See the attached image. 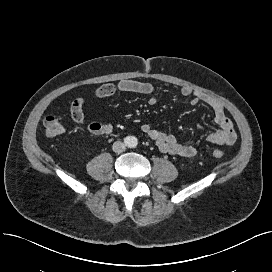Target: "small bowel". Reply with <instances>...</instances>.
Returning a JSON list of instances; mask_svg holds the SVG:
<instances>
[{"label": "small bowel", "instance_id": "1", "mask_svg": "<svg viewBox=\"0 0 272 272\" xmlns=\"http://www.w3.org/2000/svg\"><path fill=\"white\" fill-rule=\"evenodd\" d=\"M117 93H136L148 96V102L151 105L156 104L158 99L156 87L148 82L135 80H121L117 83H107L94 90L95 98H106ZM182 96L189 98L191 104H205L213 112V118L218 125V129L208 133L206 139L209 143L217 145H232L235 143L237 135L233 122L225 114L223 103L217 98L195 91L190 87L180 89ZM84 98L76 99L71 105V116L74 122L83 126L88 132L96 136H109L114 128L111 124L91 122L86 123L84 119L83 106ZM140 130L147 135L157 146V148L167 154L191 158L196 155V148L180 142L174 136L158 130L148 123L140 125Z\"/></svg>", "mask_w": 272, "mask_h": 272}]
</instances>
